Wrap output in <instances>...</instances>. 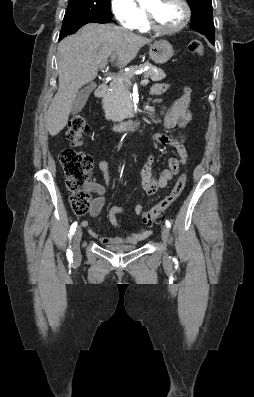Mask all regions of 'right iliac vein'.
Wrapping results in <instances>:
<instances>
[{
  "label": "right iliac vein",
  "instance_id": "obj_1",
  "mask_svg": "<svg viewBox=\"0 0 254 397\" xmlns=\"http://www.w3.org/2000/svg\"><path fill=\"white\" fill-rule=\"evenodd\" d=\"M81 238H82V229L79 227L73 236L72 248H73L74 259H79L81 256V251H80Z\"/></svg>",
  "mask_w": 254,
  "mask_h": 397
}]
</instances>
